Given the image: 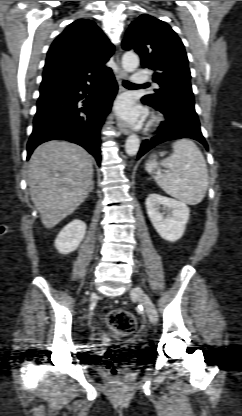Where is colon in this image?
Listing matches in <instances>:
<instances>
[{"instance_id": "colon-1", "label": "colon", "mask_w": 242, "mask_h": 416, "mask_svg": "<svg viewBox=\"0 0 242 416\" xmlns=\"http://www.w3.org/2000/svg\"><path fill=\"white\" fill-rule=\"evenodd\" d=\"M106 323L109 330L119 336L128 335L136 328L135 317L125 309L111 311L106 318Z\"/></svg>"}]
</instances>
